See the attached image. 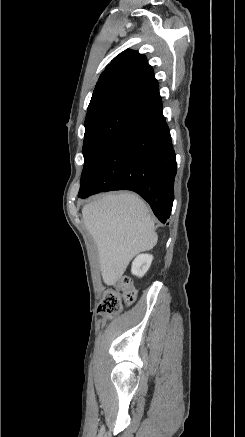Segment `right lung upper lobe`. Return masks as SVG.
Wrapping results in <instances>:
<instances>
[{"label":"right lung upper lobe","mask_w":245,"mask_h":437,"mask_svg":"<svg viewBox=\"0 0 245 437\" xmlns=\"http://www.w3.org/2000/svg\"><path fill=\"white\" fill-rule=\"evenodd\" d=\"M108 103H125L142 111L162 103L153 68L138 51L125 50L106 66L87 112Z\"/></svg>","instance_id":"right-lung-upper-lobe-1"}]
</instances>
